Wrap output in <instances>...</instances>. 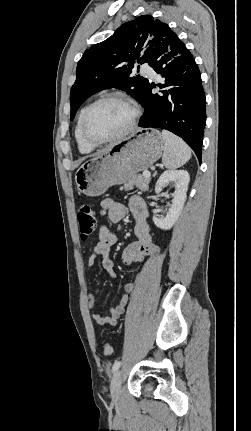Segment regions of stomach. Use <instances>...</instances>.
<instances>
[{
	"instance_id": "stomach-1",
	"label": "stomach",
	"mask_w": 251,
	"mask_h": 431,
	"mask_svg": "<svg viewBox=\"0 0 251 431\" xmlns=\"http://www.w3.org/2000/svg\"><path fill=\"white\" fill-rule=\"evenodd\" d=\"M164 142L156 129L139 130L84 162L75 173L79 192L95 197L113 185L126 183L146 171L163 154Z\"/></svg>"
}]
</instances>
